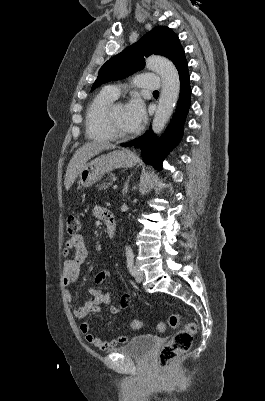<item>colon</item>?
I'll use <instances>...</instances> for the list:
<instances>
[{"mask_svg": "<svg viewBox=\"0 0 265 401\" xmlns=\"http://www.w3.org/2000/svg\"><path fill=\"white\" fill-rule=\"evenodd\" d=\"M80 227V219L76 215H69L66 221L67 233L70 235H76L79 232ZM182 320L183 317L180 314L172 313L166 321H160L157 328L161 332L166 331L168 328H177ZM141 326L142 322L140 320H133L131 323V327L133 329H140ZM195 333L196 324L191 321H187L184 327L161 348L159 353V362L162 370H170L179 356L186 353L191 348L193 335Z\"/></svg>", "mask_w": 265, "mask_h": 401, "instance_id": "1", "label": "colon"}]
</instances>
